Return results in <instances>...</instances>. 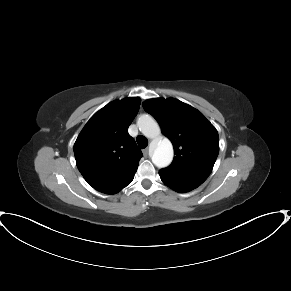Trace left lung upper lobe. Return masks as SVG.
I'll return each instance as SVG.
<instances>
[{
    "label": "left lung upper lobe",
    "instance_id": "left-lung-upper-lobe-1",
    "mask_svg": "<svg viewBox=\"0 0 291 291\" xmlns=\"http://www.w3.org/2000/svg\"><path fill=\"white\" fill-rule=\"evenodd\" d=\"M143 107L158 121L174 147L173 162L159 174L181 182L202 184L219 153L215 127L197 109L175 98L149 99Z\"/></svg>",
    "mask_w": 291,
    "mask_h": 291
}]
</instances>
